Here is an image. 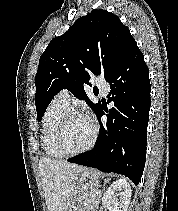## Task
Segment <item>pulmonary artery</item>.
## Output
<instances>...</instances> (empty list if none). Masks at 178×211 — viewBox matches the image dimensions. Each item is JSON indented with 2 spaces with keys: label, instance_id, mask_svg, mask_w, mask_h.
Returning <instances> with one entry per match:
<instances>
[{
  "label": "pulmonary artery",
  "instance_id": "1",
  "mask_svg": "<svg viewBox=\"0 0 178 211\" xmlns=\"http://www.w3.org/2000/svg\"><path fill=\"white\" fill-rule=\"evenodd\" d=\"M94 82L103 95H106L109 92V85L106 83L105 80H103L101 78H96V79H94ZM58 97L65 104L69 105L71 102L72 95H71L70 91L64 89L58 94Z\"/></svg>",
  "mask_w": 178,
  "mask_h": 211
}]
</instances>
